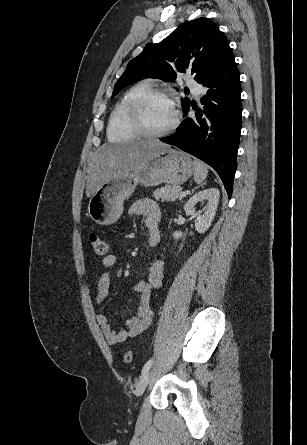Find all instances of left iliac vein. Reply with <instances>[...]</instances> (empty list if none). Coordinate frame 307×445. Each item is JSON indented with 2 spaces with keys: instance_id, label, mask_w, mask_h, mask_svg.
<instances>
[{
  "instance_id": "left-iliac-vein-1",
  "label": "left iliac vein",
  "mask_w": 307,
  "mask_h": 445,
  "mask_svg": "<svg viewBox=\"0 0 307 445\" xmlns=\"http://www.w3.org/2000/svg\"><path fill=\"white\" fill-rule=\"evenodd\" d=\"M149 378H150V372L149 371H147L146 373H144L141 376V378H140V380H139V382L137 383V386H136V395L137 396H140V395L143 394V392L145 391V389L147 387V384L149 382Z\"/></svg>"
}]
</instances>
